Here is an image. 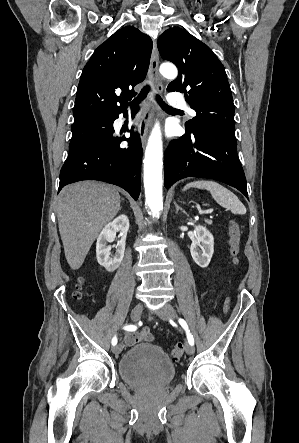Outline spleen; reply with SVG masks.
Returning a JSON list of instances; mask_svg holds the SVG:
<instances>
[{"label": "spleen", "mask_w": 299, "mask_h": 443, "mask_svg": "<svg viewBox=\"0 0 299 443\" xmlns=\"http://www.w3.org/2000/svg\"><path fill=\"white\" fill-rule=\"evenodd\" d=\"M189 188L208 190L219 205L228 208L233 214L243 215L246 213V208L238 197L217 182L210 180H198L188 183L183 190H187Z\"/></svg>", "instance_id": "obj_1"}]
</instances>
